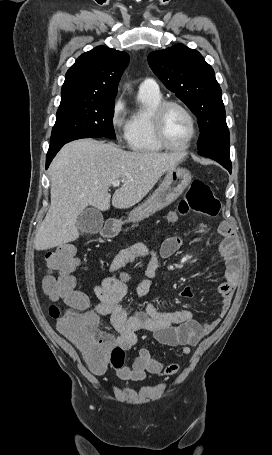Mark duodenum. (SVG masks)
Masks as SVG:
<instances>
[{
  "mask_svg": "<svg viewBox=\"0 0 272 455\" xmlns=\"http://www.w3.org/2000/svg\"><path fill=\"white\" fill-rule=\"evenodd\" d=\"M115 229L113 222H107L101 229V235L103 237H112L115 234Z\"/></svg>",
  "mask_w": 272,
  "mask_h": 455,
  "instance_id": "obj_1",
  "label": "duodenum"
}]
</instances>
